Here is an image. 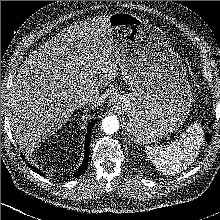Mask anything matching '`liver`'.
Masks as SVG:
<instances>
[{
    "label": "liver",
    "instance_id": "1",
    "mask_svg": "<svg viewBox=\"0 0 220 220\" xmlns=\"http://www.w3.org/2000/svg\"><path fill=\"white\" fill-rule=\"evenodd\" d=\"M110 16L70 25L30 54L9 91L7 108L17 141L34 149L67 123L84 93L96 96L119 74L121 59Z\"/></svg>",
    "mask_w": 220,
    "mask_h": 220
}]
</instances>
